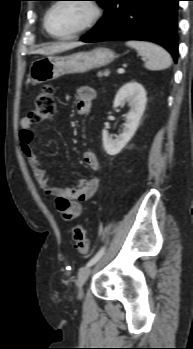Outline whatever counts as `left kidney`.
<instances>
[{
  "label": "left kidney",
  "mask_w": 193,
  "mask_h": 349,
  "mask_svg": "<svg viewBox=\"0 0 193 349\" xmlns=\"http://www.w3.org/2000/svg\"><path fill=\"white\" fill-rule=\"evenodd\" d=\"M124 102H128L131 109L127 114L123 132L116 139H112L106 129L102 131L103 148L111 156L118 154L127 145L139 126L147 102L144 87L134 80L123 85L116 94L113 107L116 108Z\"/></svg>",
  "instance_id": "left-kidney-1"
}]
</instances>
